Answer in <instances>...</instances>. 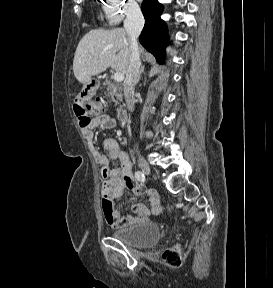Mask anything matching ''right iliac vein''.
<instances>
[{
  "mask_svg": "<svg viewBox=\"0 0 273 288\" xmlns=\"http://www.w3.org/2000/svg\"><path fill=\"white\" fill-rule=\"evenodd\" d=\"M138 163L144 174L149 175L151 173V168L145 159L139 158Z\"/></svg>",
  "mask_w": 273,
  "mask_h": 288,
  "instance_id": "1",
  "label": "right iliac vein"
}]
</instances>
